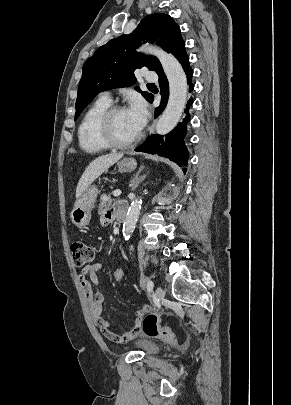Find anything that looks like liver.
Masks as SVG:
<instances>
[{"label":"liver","instance_id":"1","mask_svg":"<svg viewBox=\"0 0 291 405\" xmlns=\"http://www.w3.org/2000/svg\"><path fill=\"white\" fill-rule=\"evenodd\" d=\"M123 157L122 153L103 155L93 160L85 169L81 176L77 188L76 199H78L83 192L94 182L103 172H105L110 166L115 164Z\"/></svg>","mask_w":291,"mask_h":405}]
</instances>
